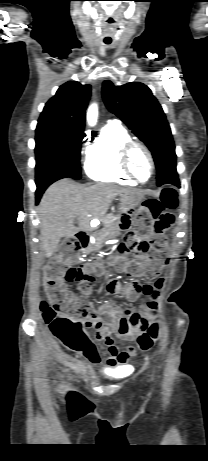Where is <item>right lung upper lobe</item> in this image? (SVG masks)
I'll return each mask as SVG.
<instances>
[{"instance_id": "1", "label": "right lung upper lobe", "mask_w": 208, "mask_h": 461, "mask_svg": "<svg viewBox=\"0 0 208 461\" xmlns=\"http://www.w3.org/2000/svg\"><path fill=\"white\" fill-rule=\"evenodd\" d=\"M90 85L69 81L57 90L45 105L40 122H52L73 131H84L85 109L88 105Z\"/></svg>"}]
</instances>
